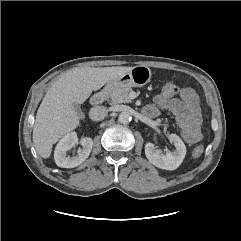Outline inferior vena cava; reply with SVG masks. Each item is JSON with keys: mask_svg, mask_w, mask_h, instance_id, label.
Wrapping results in <instances>:
<instances>
[{"mask_svg": "<svg viewBox=\"0 0 241 241\" xmlns=\"http://www.w3.org/2000/svg\"><path fill=\"white\" fill-rule=\"evenodd\" d=\"M108 115V109L104 106L93 107L89 112V117L93 121L103 120Z\"/></svg>", "mask_w": 241, "mask_h": 241, "instance_id": "602c4592", "label": "inferior vena cava"}]
</instances>
